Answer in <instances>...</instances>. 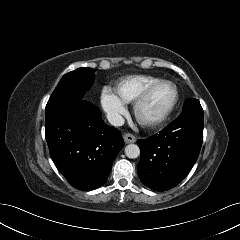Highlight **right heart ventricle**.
Listing matches in <instances>:
<instances>
[{
	"instance_id": "e07e8e85",
	"label": "right heart ventricle",
	"mask_w": 240,
	"mask_h": 240,
	"mask_svg": "<svg viewBox=\"0 0 240 240\" xmlns=\"http://www.w3.org/2000/svg\"><path fill=\"white\" fill-rule=\"evenodd\" d=\"M162 81L152 75H132L122 78L115 87V92L125 103H133L148 87Z\"/></svg>"
}]
</instances>
